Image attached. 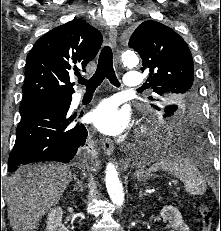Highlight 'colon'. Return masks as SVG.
<instances>
[{
  "mask_svg": "<svg viewBox=\"0 0 221 231\" xmlns=\"http://www.w3.org/2000/svg\"><path fill=\"white\" fill-rule=\"evenodd\" d=\"M203 223V231H210L213 224V213L212 211L202 202L195 204Z\"/></svg>",
  "mask_w": 221,
  "mask_h": 231,
  "instance_id": "colon-1",
  "label": "colon"
}]
</instances>
